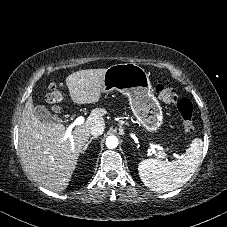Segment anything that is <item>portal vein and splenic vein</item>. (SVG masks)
Listing matches in <instances>:
<instances>
[{
    "label": "portal vein and splenic vein",
    "mask_w": 227,
    "mask_h": 227,
    "mask_svg": "<svg viewBox=\"0 0 227 227\" xmlns=\"http://www.w3.org/2000/svg\"><path fill=\"white\" fill-rule=\"evenodd\" d=\"M84 120H85V119H84L83 116H79L78 118H76V119L68 126V128H67V130H66V133H65V136L71 138L72 129H73L75 126H78V125L83 124V123H84ZM149 145H150V148H151V150H152V152H153L154 154H156L155 149L163 150V148H161L160 146L155 145V144H153V143H150ZM162 155L164 156V154H162ZM172 155H173L175 158H177V159H182V158H183L182 155L180 156V155H178V154H176V153H172Z\"/></svg>",
    "instance_id": "obj_1"
}]
</instances>
